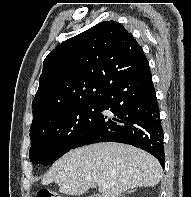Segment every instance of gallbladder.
Listing matches in <instances>:
<instances>
[{
    "label": "gallbladder",
    "mask_w": 191,
    "mask_h": 197,
    "mask_svg": "<svg viewBox=\"0 0 191 197\" xmlns=\"http://www.w3.org/2000/svg\"><path fill=\"white\" fill-rule=\"evenodd\" d=\"M89 197H97V196H95V195H91V196H89Z\"/></svg>",
    "instance_id": "obj_1"
}]
</instances>
